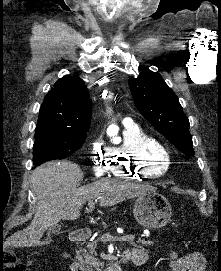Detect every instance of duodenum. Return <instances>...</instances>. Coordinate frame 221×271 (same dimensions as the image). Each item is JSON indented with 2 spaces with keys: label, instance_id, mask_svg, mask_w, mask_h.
Returning <instances> with one entry per match:
<instances>
[{
  "label": "duodenum",
  "instance_id": "410a0bca",
  "mask_svg": "<svg viewBox=\"0 0 221 271\" xmlns=\"http://www.w3.org/2000/svg\"><path fill=\"white\" fill-rule=\"evenodd\" d=\"M89 237L90 232L88 230H76L71 235V241L75 244H83L88 241ZM64 257L69 261L71 271H88V269L77 261L69 251L64 253ZM122 259L136 265H142L145 263L147 257L145 255H132L130 252L125 251L122 254ZM103 271H122V268L119 261H116L107 266Z\"/></svg>",
  "mask_w": 221,
  "mask_h": 271
}]
</instances>
